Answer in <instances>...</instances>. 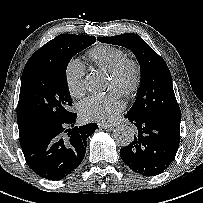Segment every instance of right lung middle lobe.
Returning a JSON list of instances; mask_svg holds the SVG:
<instances>
[{
  "label": "right lung middle lobe",
  "mask_w": 203,
  "mask_h": 203,
  "mask_svg": "<svg viewBox=\"0 0 203 203\" xmlns=\"http://www.w3.org/2000/svg\"><path fill=\"white\" fill-rule=\"evenodd\" d=\"M94 36H80L40 62L25 65L18 102L21 111L37 130L60 122L72 112V99L66 81L71 58L92 45Z\"/></svg>",
  "instance_id": "1"
}]
</instances>
